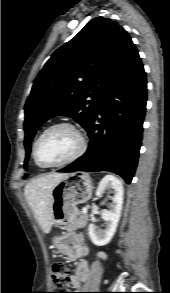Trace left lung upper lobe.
Instances as JSON below:
<instances>
[{"label":"left lung upper lobe","mask_w":170,"mask_h":293,"mask_svg":"<svg viewBox=\"0 0 170 293\" xmlns=\"http://www.w3.org/2000/svg\"><path fill=\"white\" fill-rule=\"evenodd\" d=\"M133 48L122 27L96 17L53 53L25 105V164L36 129L47 119L66 115L87 128L110 80Z\"/></svg>","instance_id":"1"}]
</instances>
